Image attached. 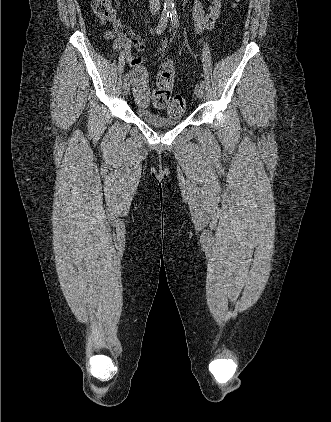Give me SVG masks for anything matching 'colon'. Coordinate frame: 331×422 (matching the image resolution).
Segmentation results:
<instances>
[{"label": "colon", "mask_w": 331, "mask_h": 422, "mask_svg": "<svg viewBox=\"0 0 331 422\" xmlns=\"http://www.w3.org/2000/svg\"><path fill=\"white\" fill-rule=\"evenodd\" d=\"M239 2V0H235ZM93 9L102 22L117 21L118 13L112 0H93ZM175 73V65L172 61H166L159 67L157 75L156 88L152 94L153 105L157 108L167 107L168 114L171 116H181L186 108V102L180 93H172V81ZM131 76L141 81L148 80V71L145 67L135 66L132 69ZM140 101L145 103L148 99L143 90L139 94Z\"/></svg>", "instance_id": "1"}]
</instances>
